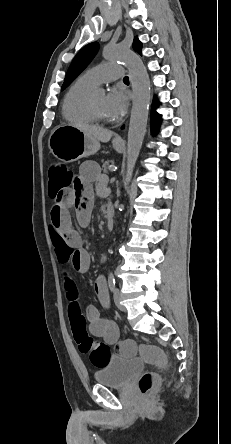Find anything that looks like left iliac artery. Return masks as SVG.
Masks as SVG:
<instances>
[{
    "instance_id": "1",
    "label": "left iliac artery",
    "mask_w": 231,
    "mask_h": 444,
    "mask_svg": "<svg viewBox=\"0 0 231 444\" xmlns=\"http://www.w3.org/2000/svg\"><path fill=\"white\" fill-rule=\"evenodd\" d=\"M115 283L116 282H115V278H114L113 274H110L109 278H108V284H109V288L111 289V291H114Z\"/></svg>"
}]
</instances>
